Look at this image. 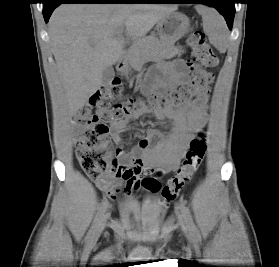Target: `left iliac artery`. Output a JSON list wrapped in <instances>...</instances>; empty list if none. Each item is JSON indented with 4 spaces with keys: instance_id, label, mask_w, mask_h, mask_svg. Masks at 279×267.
<instances>
[{
    "instance_id": "left-iliac-artery-1",
    "label": "left iliac artery",
    "mask_w": 279,
    "mask_h": 267,
    "mask_svg": "<svg viewBox=\"0 0 279 267\" xmlns=\"http://www.w3.org/2000/svg\"><path fill=\"white\" fill-rule=\"evenodd\" d=\"M181 212H182L183 216L185 217V220H186L189 228L194 233V235L196 236L197 240H199L200 236H199L197 227L194 224V221L192 219V216H191V213H190L189 209L186 206L182 205L181 206Z\"/></svg>"
}]
</instances>
